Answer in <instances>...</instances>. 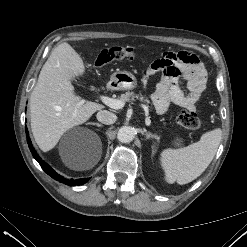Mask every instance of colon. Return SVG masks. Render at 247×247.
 I'll use <instances>...</instances> for the list:
<instances>
[{
  "instance_id": "1",
  "label": "colon",
  "mask_w": 247,
  "mask_h": 247,
  "mask_svg": "<svg viewBox=\"0 0 247 247\" xmlns=\"http://www.w3.org/2000/svg\"><path fill=\"white\" fill-rule=\"evenodd\" d=\"M136 55L134 48L114 46L102 50L97 59V66H104L111 61L123 58H132ZM176 123L189 130H197L201 126V121L196 112L193 110L183 111L176 117Z\"/></svg>"
}]
</instances>
